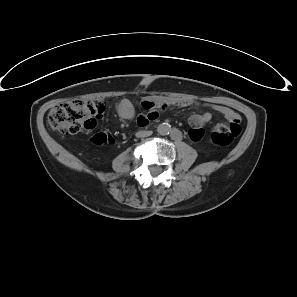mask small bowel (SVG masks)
<instances>
[{
  "mask_svg": "<svg viewBox=\"0 0 297 297\" xmlns=\"http://www.w3.org/2000/svg\"><path fill=\"white\" fill-rule=\"evenodd\" d=\"M191 102L187 100H156V101H149L146 100L142 103L143 113H141L138 117V123L141 126H145L149 121L155 120L158 117V109L165 108L170 105H177L181 107L189 106ZM117 112L119 116L125 120L132 119L135 115V109L133 104L127 100L123 99L121 102L118 103ZM214 109L222 114L226 119L231 120L237 116H239L236 112L232 109L221 106L215 105ZM212 115L210 112H204L201 114H194L190 117L189 122L192 125V129L189 131V136L192 140L198 141L203 136V127L211 120Z\"/></svg>",
  "mask_w": 297,
  "mask_h": 297,
  "instance_id": "1",
  "label": "small bowel"
}]
</instances>
